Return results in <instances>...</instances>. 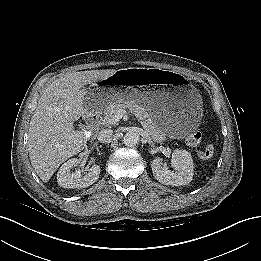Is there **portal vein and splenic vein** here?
<instances>
[{"label":"portal vein and splenic vein","instance_id":"18ae733b","mask_svg":"<svg viewBox=\"0 0 261 261\" xmlns=\"http://www.w3.org/2000/svg\"><path fill=\"white\" fill-rule=\"evenodd\" d=\"M124 114H126V111L124 109H118L115 112V115L112 117V121L114 122H118L120 119H122V117L124 116Z\"/></svg>","mask_w":261,"mask_h":261}]
</instances>
